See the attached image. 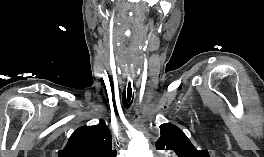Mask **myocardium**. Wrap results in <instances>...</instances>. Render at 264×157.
Listing matches in <instances>:
<instances>
[{
  "instance_id": "myocardium-1",
  "label": "myocardium",
  "mask_w": 264,
  "mask_h": 157,
  "mask_svg": "<svg viewBox=\"0 0 264 157\" xmlns=\"http://www.w3.org/2000/svg\"><path fill=\"white\" fill-rule=\"evenodd\" d=\"M162 157H171V156H162Z\"/></svg>"
}]
</instances>
